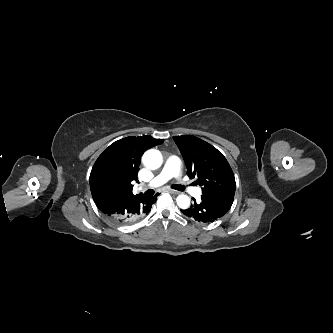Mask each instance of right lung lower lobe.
I'll return each mask as SVG.
<instances>
[{"mask_svg": "<svg viewBox=\"0 0 333 333\" xmlns=\"http://www.w3.org/2000/svg\"><path fill=\"white\" fill-rule=\"evenodd\" d=\"M157 195L152 197L116 195L103 198L97 201L96 205L111 221L130 225L150 212L152 204L156 202Z\"/></svg>", "mask_w": 333, "mask_h": 333, "instance_id": "1", "label": "right lung lower lobe"}]
</instances>
